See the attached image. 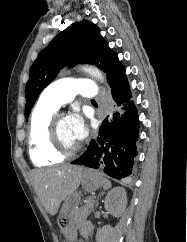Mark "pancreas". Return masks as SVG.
<instances>
[{
    "instance_id": "1",
    "label": "pancreas",
    "mask_w": 187,
    "mask_h": 242,
    "mask_svg": "<svg viewBox=\"0 0 187 242\" xmlns=\"http://www.w3.org/2000/svg\"><path fill=\"white\" fill-rule=\"evenodd\" d=\"M94 210V197H89L86 200V205L79 209L78 215L81 219H84Z\"/></svg>"
}]
</instances>
